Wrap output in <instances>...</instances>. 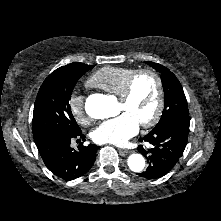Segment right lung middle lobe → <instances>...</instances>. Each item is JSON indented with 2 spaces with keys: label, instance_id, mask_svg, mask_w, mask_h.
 I'll use <instances>...</instances> for the list:
<instances>
[{
  "label": "right lung middle lobe",
  "instance_id": "right-lung-middle-lobe-1",
  "mask_svg": "<svg viewBox=\"0 0 221 221\" xmlns=\"http://www.w3.org/2000/svg\"><path fill=\"white\" fill-rule=\"evenodd\" d=\"M94 66L70 63L53 71L41 85L34 105L33 137L80 131L69 105L72 91L79 78Z\"/></svg>",
  "mask_w": 221,
  "mask_h": 221
}]
</instances>
